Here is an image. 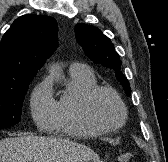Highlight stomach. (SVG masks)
<instances>
[{"label": "stomach", "mask_w": 168, "mask_h": 162, "mask_svg": "<svg viewBox=\"0 0 168 162\" xmlns=\"http://www.w3.org/2000/svg\"><path fill=\"white\" fill-rule=\"evenodd\" d=\"M90 162H102V161H100V160H92Z\"/></svg>", "instance_id": "stomach-1"}]
</instances>
